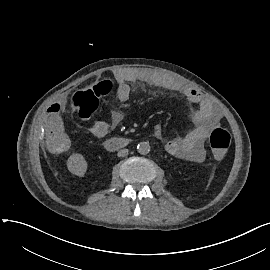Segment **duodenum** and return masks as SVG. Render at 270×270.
<instances>
[{"instance_id": "duodenum-1", "label": "duodenum", "mask_w": 270, "mask_h": 270, "mask_svg": "<svg viewBox=\"0 0 270 270\" xmlns=\"http://www.w3.org/2000/svg\"><path fill=\"white\" fill-rule=\"evenodd\" d=\"M130 141L122 137H113L105 141L104 146L109 151H114L127 146Z\"/></svg>"}]
</instances>
